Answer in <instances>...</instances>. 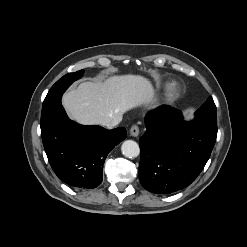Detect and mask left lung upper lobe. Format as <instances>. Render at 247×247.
Segmentation results:
<instances>
[{
	"label": "left lung upper lobe",
	"mask_w": 247,
	"mask_h": 247,
	"mask_svg": "<svg viewBox=\"0 0 247 247\" xmlns=\"http://www.w3.org/2000/svg\"><path fill=\"white\" fill-rule=\"evenodd\" d=\"M193 122L202 126L217 129L216 106L211 97H209L200 109L196 111Z\"/></svg>",
	"instance_id": "left-lung-upper-lobe-1"
}]
</instances>
